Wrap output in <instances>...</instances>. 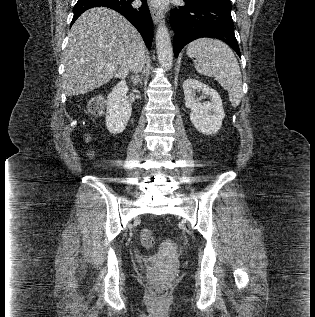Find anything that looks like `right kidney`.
<instances>
[{
  "instance_id": "1",
  "label": "right kidney",
  "mask_w": 315,
  "mask_h": 317,
  "mask_svg": "<svg viewBox=\"0 0 315 317\" xmlns=\"http://www.w3.org/2000/svg\"><path fill=\"white\" fill-rule=\"evenodd\" d=\"M126 81H120L107 97L106 127L111 134L122 133L130 119L132 106Z\"/></svg>"
}]
</instances>
